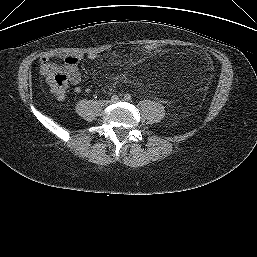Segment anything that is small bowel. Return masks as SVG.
<instances>
[{
  "instance_id": "obj_1",
  "label": "small bowel",
  "mask_w": 257,
  "mask_h": 257,
  "mask_svg": "<svg viewBox=\"0 0 257 257\" xmlns=\"http://www.w3.org/2000/svg\"><path fill=\"white\" fill-rule=\"evenodd\" d=\"M96 54L92 53L89 55L90 59H95ZM83 59L82 54H74L63 57L61 64H55L49 60L48 57H44L41 61V71H43L47 66L57 68L66 73L69 82L72 85H78L81 82L82 75L79 69V62Z\"/></svg>"
}]
</instances>
